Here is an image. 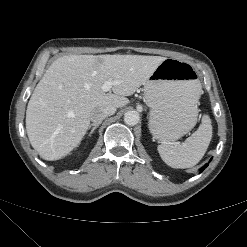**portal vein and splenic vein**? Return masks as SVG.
<instances>
[{
  "label": "portal vein and splenic vein",
  "mask_w": 247,
  "mask_h": 247,
  "mask_svg": "<svg viewBox=\"0 0 247 247\" xmlns=\"http://www.w3.org/2000/svg\"><path fill=\"white\" fill-rule=\"evenodd\" d=\"M116 84V82H113V81H106L103 86H102V89L103 91L107 92V91H110V89L112 88V86Z\"/></svg>",
  "instance_id": "1"
}]
</instances>
